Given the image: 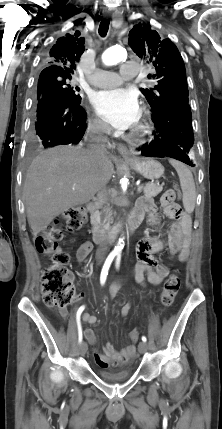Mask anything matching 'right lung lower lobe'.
Returning a JSON list of instances; mask_svg holds the SVG:
<instances>
[{"mask_svg":"<svg viewBox=\"0 0 222 429\" xmlns=\"http://www.w3.org/2000/svg\"><path fill=\"white\" fill-rule=\"evenodd\" d=\"M86 113L81 100L51 88L37 100L35 129L43 146L79 143L86 130Z\"/></svg>","mask_w":222,"mask_h":429,"instance_id":"98d812e1","label":"right lung lower lobe"}]
</instances>
